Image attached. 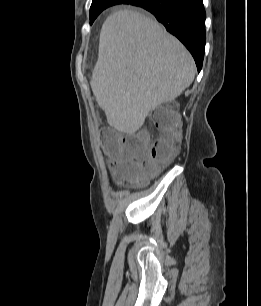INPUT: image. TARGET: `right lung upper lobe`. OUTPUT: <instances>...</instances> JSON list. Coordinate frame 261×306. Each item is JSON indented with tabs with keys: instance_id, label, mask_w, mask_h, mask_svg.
Listing matches in <instances>:
<instances>
[{
	"instance_id": "1",
	"label": "right lung upper lobe",
	"mask_w": 261,
	"mask_h": 306,
	"mask_svg": "<svg viewBox=\"0 0 261 306\" xmlns=\"http://www.w3.org/2000/svg\"><path fill=\"white\" fill-rule=\"evenodd\" d=\"M100 1H105V0H93V2H92V3H95V2H100ZM124 1H126V2H127L128 0H124ZM126 2H125V3H126Z\"/></svg>"
}]
</instances>
